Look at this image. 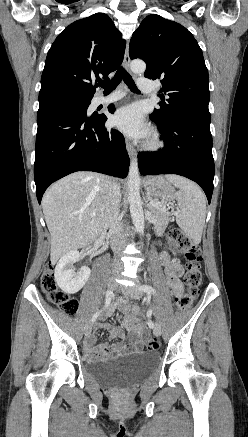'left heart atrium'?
<instances>
[{"label":"left heart atrium","mask_w":248,"mask_h":437,"mask_svg":"<svg viewBox=\"0 0 248 437\" xmlns=\"http://www.w3.org/2000/svg\"><path fill=\"white\" fill-rule=\"evenodd\" d=\"M112 122L119 130L133 137H146L149 128L144 121L140 108L129 105L119 109L113 116Z\"/></svg>","instance_id":"1"}]
</instances>
